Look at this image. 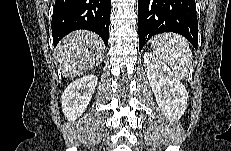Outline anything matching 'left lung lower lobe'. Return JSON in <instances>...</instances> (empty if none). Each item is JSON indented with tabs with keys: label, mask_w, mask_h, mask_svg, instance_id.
Here are the masks:
<instances>
[{
	"label": "left lung lower lobe",
	"mask_w": 231,
	"mask_h": 151,
	"mask_svg": "<svg viewBox=\"0 0 231 151\" xmlns=\"http://www.w3.org/2000/svg\"><path fill=\"white\" fill-rule=\"evenodd\" d=\"M139 50L154 35L175 32L197 49L198 20L195 0H138Z\"/></svg>",
	"instance_id": "1"
}]
</instances>
